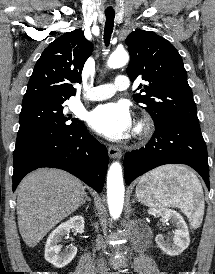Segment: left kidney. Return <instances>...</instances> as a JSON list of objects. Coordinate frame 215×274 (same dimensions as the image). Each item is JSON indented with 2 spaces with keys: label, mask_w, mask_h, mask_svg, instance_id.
Masks as SVG:
<instances>
[{
  "label": "left kidney",
  "mask_w": 215,
  "mask_h": 274,
  "mask_svg": "<svg viewBox=\"0 0 215 274\" xmlns=\"http://www.w3.org/2000/svg\"><path fill=\"white\" fill-rule=\"evenodd\" d=\"M150 215H159L166 221H170L175 227L174 236L165 237L161 234L155 238L158 247L167 255L177 256L181 254L190 243L188 227L183 217L176 211L166 207L150 208Z\"/></svg>",
  "instance_id": "1"
}]
</instances>
